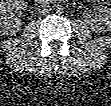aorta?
Returning <instances> with one entry per match:
<instances>
[{
	"mask_svg": "<svg viewBox=\"0 0 111 106\" xmlns=\"http://www.w3.org/2000/svg\"><path fill=\"white\" fill-rule=\"evenodd\" d=\"M56 11H57L58 13H62V12L64 11V8H63L62 6H58V7L56 8Z\"/></svg>",
	"mask_w": 111,
	"mask_h": 106,
	"instance_id": "1",
	"label": "aorta"
}]
</instances>
